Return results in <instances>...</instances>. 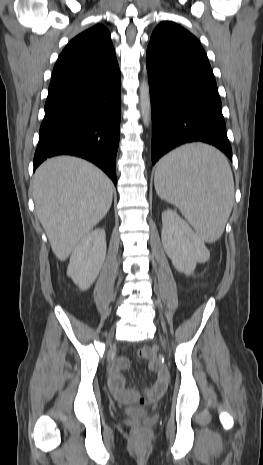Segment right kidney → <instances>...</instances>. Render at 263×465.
<instances>
[{
  "mask_svg": "<svg viewBox=\"0 0 263 465\" xmlns=\"http://www.w3.org/2000/svg\"><path fill=\"white\" fill-rule=\"evenodd\" d=\"M105 257V231L98 228L84 236L73 250L67 275L81 290H87L96 280Z\"/></svg>",
  "mask_w": 263,
  "mask_h": 465,
  "instance_id": "obj_1",
  "label": "right kidney"
}]
</instances>
